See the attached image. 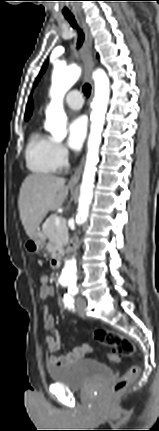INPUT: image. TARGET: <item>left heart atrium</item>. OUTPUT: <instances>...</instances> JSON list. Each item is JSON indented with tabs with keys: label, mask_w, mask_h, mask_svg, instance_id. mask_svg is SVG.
Listing matches in <instances>:
<instances>
[{
	"label": "left heart atrium",
	"mask_w": 159,
	"mask_h": 431,
	"mask_svg": "<svg viewBox=\"0 0 159 431\" xmlns=\"http://www.w3.org/2000/svg\"><path fill=\"white\" fill-rule=\"evenodd\" d=\"M87 134V119L85 116L73 118L68 125V146L77 151L81 148Z\"/></svg>",
	"instance_id": "left-heart-atrium-1"
}]
</instances>
